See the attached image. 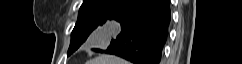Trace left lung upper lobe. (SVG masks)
<instances>
[{
	"label": "left lung upper lobe",
	"instance_id": "1",
	"mask_svg": "<svg viewBox=\"0 0 242 64\" xmlns=\"http://www.w3.org/2000/svg\"><path fill=\"white\" fill-rule=\"evenodd\" d=\"M124 0H84L76 25L71 33L68 56L76 51L89 34L99 26L108 13Z\"/></svg>",
	"mask_w": 242,
	"mask_h": 64
}]
</instances>
